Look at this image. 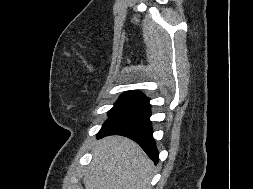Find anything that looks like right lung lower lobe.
Segmentation results:
<instances>
[{
  "instance_id": "98d812e1",
  "label": "right lung lower lobe",
  "mask_w": 253,
  "mask_h": 189,
  "mask_svg": "<svg viewBox=\"0 0 253 189\" xmlns=\"http://www.w3.org/2000/svg\"><path fill=\"white\" fill-rule=\"evenodd\" d=\"M150 115L149 100L145 97L110 115L97 138L115 134L127 136L136 141L157 164L159 153L152 136Z\"/></svg>"
}]
</instances>
